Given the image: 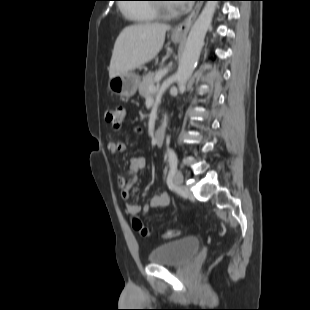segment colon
<instances>
[{
    "mask_svg": "<svg viewBox=\"0 0 310 310\" xmlns=\"http://www.w3.org/2000/svg\"><path fill=\"white\" fill-rule=\"evenodd\" d=\"M126 117V108L123 105H117L114 108H110L105 113V120L114 128H121ZM134 228L141 232L142 235H148L146 229L142 227L140 220L135 219L133 222ZM180 235L179 230H166L160 234L163 238H175Z\"/></svg>",
    "mask_w": 310,
    "mask_h": 310,
    "instance_id": "1",
    "label": "colon"
}]
</instances>
